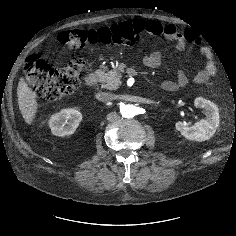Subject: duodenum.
I'll return each mask as SVG.
<instances>
[{"mask_svg":"<svg viewBox=\"0 0 236 236\" xmlns=\"http://www.w3.org/2000/svg\"><path fill=\"white\" fill-rule=\"evenodd\" d=\"M100 73L97 70H94L90 72L86 77H85V84L87 86H94L99 79Z\"/></svg>","mask_w":236,"mask_h":236,"instance_id":"obj_1","label":"duodenum"}]
</instances>
